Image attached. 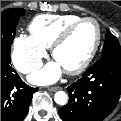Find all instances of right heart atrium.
I'll list each match as a JSON object with an SVG mask.
<instances>
[{
	"mask_svg": "<svg viewBox=\"0 0 121 121\" xmlns=\"http://www.w3.org/2000/svg\"><path fill=\"white\" fill-rule=\"evenodd\" d=\"M47 55L46 48L33 36L18 34L12 43V62L23 74H30L38 69Z\"/></svg>",
	"mask_w": 121,
	"mask_h": 121,
	"instance_id": "d8ad5b80",
	"label": "right heart atrium"
}]
</instances>
